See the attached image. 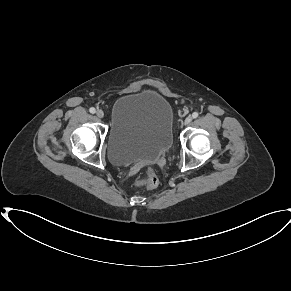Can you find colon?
Listing matches in <instances>:
<instances>
[{
	"mask_svg": "<svg viewBox=\"0 0 291 291\" xmlns=\"http://www.w3.org/2000/svg\"><path fill=\"white\" fill-rule=\"evenodd\" d=\"M135 184L138 186H145L147 188H153V187H156L158 184V177L155 171L147 170L145 177L140 181H136Z\"/></svg>",
	"mask_w": 291,
	"mask_h": 291,
	"instance_id": "obj_1",
	"label": "colon"
}]
</instances>
